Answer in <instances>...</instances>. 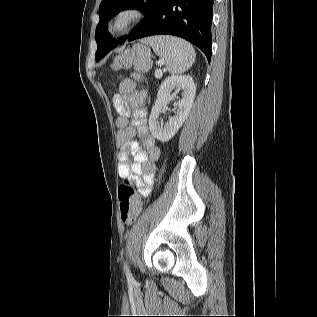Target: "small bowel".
I'll list each match as a JSON object with an SVG mask.
<instances>
[{
    "mask_svg": "<svg viewBox=\"0 0 317 317\" xmlns=\"http://www.w3.org/2000/svg\"><path fill=\"white\" fill-rule=\"evenodd\" d=\"M146 91L132 79H124L113 96V105L118 113V173L120 177L136 183L139 194L147 197L154 184L155 162L161 151L147 126L145 107ZM138 136L146 151L136 141ZM133 156V161L130 156Z\"/></svg>",
    "mask_w": 317,
    "mask_h": 317,
    "instance_id": "c3829d8e",
    "label": "small bowel"
}]
</instances>
